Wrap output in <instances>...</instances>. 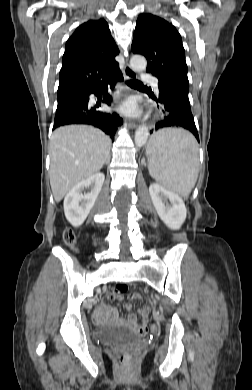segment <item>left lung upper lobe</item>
<instances>
[{"mask_svg": "<svg viewBox=\"0 0 252 390\" xmlns=\"http://www.w3.org/2000/svg\"><path fill=\"white\" fill-rule=\"evenodd\" d=\"M131 50L147 59V72L160 82L189 91L182 39L176 28L152 14L138 17Z\"/></svg>", "mask_w": 252, "mask_h": 390, "instance_id": "1", "label": "left lung upper lobe"}]
</instances>
